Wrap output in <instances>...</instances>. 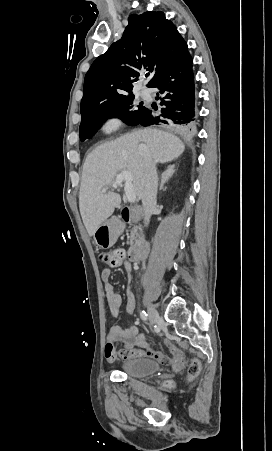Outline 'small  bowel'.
<instances>
[{
  "instance_id": "1",
  "label": "small bowel",
  "mask_w": 272,
  "mask_h": 451,
  "mask_svg": "<svg viewBox=\"0 0 272 451\" xmlns=\"http://www.w3.org/2000/svg\"><path fill=\"white\" fill-rule=\"evenodd\" d=\"M100 276L104 283V290L108 308L112 316L117 317L121 308L122 297L118 292L114 290V286L110 281L112 277L110 268H104L101 271ZM134 308V294L129 288H127L126 311L128 313H132L134 311ZM115 343H121L122 347L116 349ZM163 343L168 352H175L176 356H183L181 350L177 348L172 341L165 339ZM157 352L162 351L151 348L147 342L146 335L139 333V331L135 327L122 328L118 325H112L108 330L104 354L109 362H114L118 357L123 360H130L140 357H151L157 360ZM158 362L161 363V361Z\"/></svg>"
}]
</instances>
